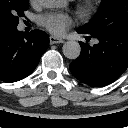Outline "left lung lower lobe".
I'll use <instances>...</instances> for the list:
<instances>
[{"label":"left lung lower lobe","mask_w":128,"mask_h":128,"mask_svg":"<svg viewBox=\"0 0 128 128\" xmlns=\"http://www.w3.org/2000/svg\"><path fill=\"white\" fill-rule=\"evenodd\" d=\"M78 32L97 38L99 43L90 47L80 42L81 55L70 64L74 77L93 87L117 80L128 67V30L101 35L82 28Z\"/></svg>","instance_id":"0a47b994"}]
</instances>
